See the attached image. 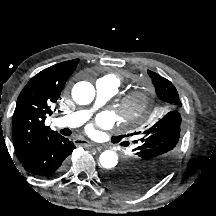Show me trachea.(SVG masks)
<instances>
[{"label": "trachea", "mask_w": 216, "mask_h": 216, "mask_svg": "<svg viewBox=\"0 0 216 216\" xmlns=\"http://www.w3.org/2000/svg\"><path fill=\"white\" fill-rule=\"evenodd\" d=\"M62 134H64V135H70V133H69V131H67V129H64V130H62Z\"/></svg>", "instance_id": "obj_1"}]
</instances>
